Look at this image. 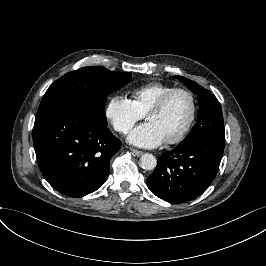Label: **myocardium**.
Returning <instances> with one entry per match:
<instances>
[{
    "label": "myocardium",
    "instance_id": "f54148a6",
    "mask_svg": "<svg viewBox=\"0 0 266 266\" xmlns=\"http://www.w3.org/2000/svg\"><path fill=\"white\" fill-rule=\"evenodd\" d=\"M176 93H184L189 97V99L191 101V105H192V112H191V116L189 118V121L184 126V128L181 130V132L175 138L165 140V143L168 145L179 144L180 142H182L184 140V138L187 136V134L192 129V127L196 121L197 112H198V104H197V99H196L195 94L188 88L174 87V88L170 89L169 91L165 92L164 94H162L161 97L152 106H150V108L145 113V118H147V116L151 113L161 112L165 108V106L167 105L168 101Z\"/></svg>",
    "mask_w": 266,
    "mask_h": 266
}]
</instances>
